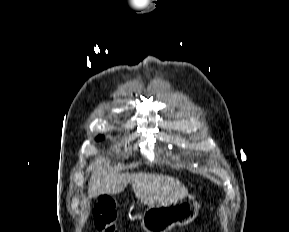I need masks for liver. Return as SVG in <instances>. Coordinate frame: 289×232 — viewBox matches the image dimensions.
<instances>
[{
  "label": "liver",
  "mask_w": 289,
  "mask_h": 232,
  "mask_svg": "<svg viewBox=\"0 0 289 232\" xmlns=\"http://www.w3.org/2000/svg\"><path fill=\"white\" fill-rule=\"evenodd\" d=\"M88 170L92 172L88 183L89 198L104 194H118L130 183L138 200L144 205H165L188 195V189L178 179L154 173H117L110 161L100 157Z\"/></svg>",
  "instance_id": "6515ba94"
}]
</instances>
